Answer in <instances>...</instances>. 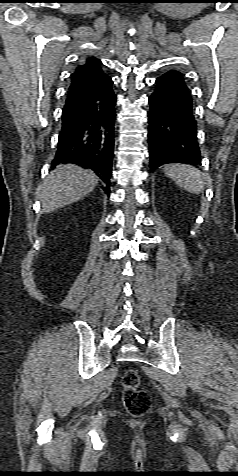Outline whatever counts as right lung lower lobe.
Wrapping results in <instances>:
<instances>
[{
  "mask_svg": "<svg viewBox=\"0 0 238 476\" xmlns=\"http://www.w3.org/2000/svg\"><path fill=\"white\" fill-rule=\"evenodd\" d=\"M112 79L107 77L84 98L63 108L62 128L55 167L61 163H74L93 170L110 192L112 160L114 156L116 96Z\"/></svg>",
  "mask_w": 238,
  "mask_h": 476,
  "instance_id": "98d812e1",
  "label": "right lung lower lobe"
}]
</instances>
